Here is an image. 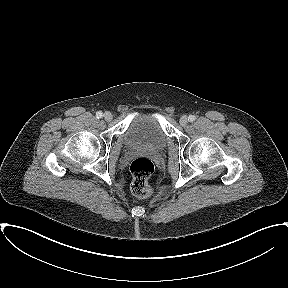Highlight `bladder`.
<instances>
[{
    "mask_svg": "<svg viewBox=\"0 0 288 288\" xmlns=\"http://www.w3.org/2000/svg\"><path fill=\"white\" fill-rule=\"evenodd\" d=\"M124 141L130 148L160 151L166 146L167 136L157 115L141 113L128 124Z\"/></svg>",
    "mask_w": 288,
    "mask_h": 288,
    "instance_id": "bladder-1",
    "label": "bladder"
}]
</instances>
